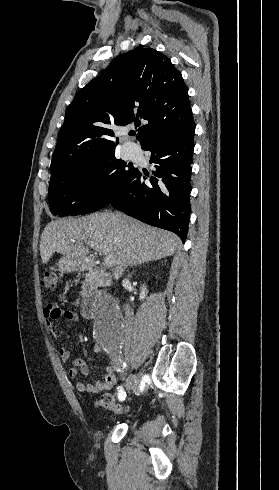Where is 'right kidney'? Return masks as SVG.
Returning a JSON list of instances; mask_svg holds the SVG:
<instances>
[{"mask_svg": "<svg viewBox=\"0 0 279 490\" xmlns=\"http://www.w3.org/2000/svg\"><path fill=\"white\" fill-rule=\"evenodd\" d=\"M146 294H147V290H146L145 286H142V288H141V294L139 296L140 300H145Z\"/></svg>", "mask_w": 279, "mask_h": 490, "instance_id": "ca27d5eb", "label": "right kidney"}]
</instances>
